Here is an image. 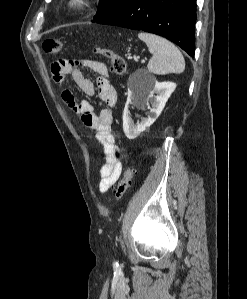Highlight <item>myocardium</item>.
<instances>
[{"label":"myocardium","mask_w":247,"mask_h":299,"mask_svg":"<svg viewBox=\"0 0 247 299\" xmlns=\"http://www.w3.org/2000/svg\"><path fill=\"white\" fill-rule=\"evenodd\" d=\"M93 1L94 0H68L66 7L69 11L74 12L88 6Z\"/></svg>","instance_id":"f54148a6"}]
</instances>
